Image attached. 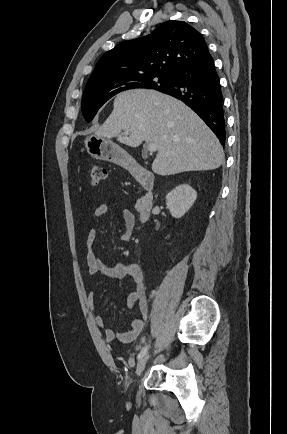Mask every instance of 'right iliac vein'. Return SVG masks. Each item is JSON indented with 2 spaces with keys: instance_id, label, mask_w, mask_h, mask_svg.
<instances>
[{
  "instance_id": "obj_1",
  "label": "right iliac vein",
  "mask_w": 287,
  "mask_h": 434,
  "mask_svg": "<svg viewBox=\"0 0 287 434\" xmlns=\"http://www.w3.org/2000/svg\"><path fill=\"white\" fill-rule=\"evenodd\" d=\"M149 360V353H146L138 362L137 368H136V375L140 376L142 372L144 371L146 364Z\"/></svg>"
}]
</instances>
